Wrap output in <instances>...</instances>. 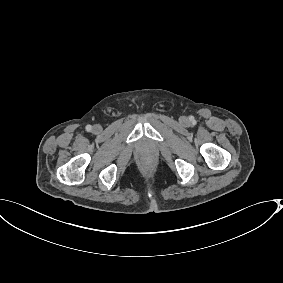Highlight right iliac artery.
I'll return each instance as SVG.
<instances>
[{
  "label": "right iliac artery",
  "mask_w": 283,
  "mask_h": 283,
  "mask_svg": "<svg viewBox=\"0 0 283 283\" xmlns=\"http://www.w3.org/2000/svg\"><path fill=\"white\" fill-rule=\"evenodd\" d=\"M86 130L89 132V131H91L92 130V126L91 125H87L86 126Z\"/></svg>",
  "instance_id": "82829eb1"
}]
</instances>
